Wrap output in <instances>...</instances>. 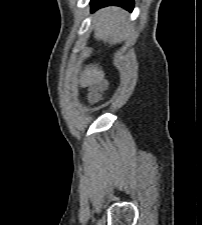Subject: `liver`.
<instances>
[{
    "label": "liver",
    "mask_w": 202,
    "mask_h": 225,
    "mask_svg": "<svg viewBox=\"0 0 202 225\" xmlns=\"http://www.w3.org/2000/svg\"><path fill=\"white\" fill-rule=\"evenodd\" d=\"M94 37L110 44L120 42L128 27L127 13L118 7H107L96 12L93 19ZM104 79V72L98 65H88L81 73L80 82L89 84Z\"/></svg>",
    "instance_id": "liver-1"
}]
</instances>
